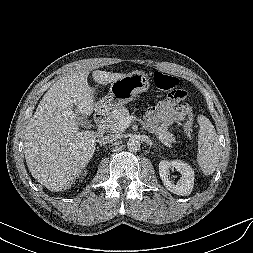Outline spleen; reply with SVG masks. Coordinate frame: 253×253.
<instances>
[{"label":"spleen","mask_w":253,"mask_h":253,"mask_svg":"<svg viewBox=\"0 0 253 253\" xmlns=\"http://www.w3.org/2000/svg\"><path fill=\"white\" fill-rule=\"evenodd\" d=\"M198 123L200 129L196 162L205 175H210L214 173L220 159L218 135L207 117L198 116Z\"/></svg>","instance_id":"1"}]
</instances>
